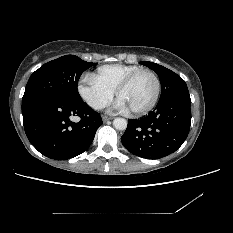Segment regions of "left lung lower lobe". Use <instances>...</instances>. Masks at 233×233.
<instances>
[{"mask_svg":"<svg viewBox=\"0 0 233 233\" xmlns=\"http://www.w3.org/2000/svg\"><path fill=\"white\" fill-rule=\"evenodd\" d=\"M189 92L157 104L148 116L128 120L121 137L123 146L132 154L158 159L175 152L188 136L191 124Z\"/></svg>","mask_w":233,"mask_h":233,"instance_id":"obj_1","label":"left lung lower lobe"}]
</instances>
